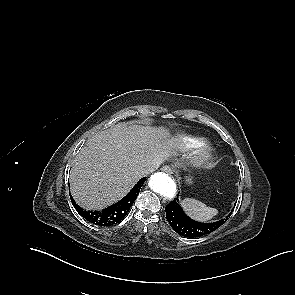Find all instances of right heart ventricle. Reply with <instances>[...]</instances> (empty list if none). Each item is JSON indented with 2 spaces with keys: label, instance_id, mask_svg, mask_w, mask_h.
Masks as SVG:
<instances>
[{
  "label": "right heart ventricle",
  "instance_id": "e07e8e85",
  "mask_svg": "<svg viewBox=\"0 0 295 295\" xmlns=\"http://www.w3.org/2000/svg\"><path fill=\"white\" fill-rule=\"evenodd\" d=\"M176 144L182 151H190L201 147L204 144V139L195 136H182L177 139Z\"/></svg>",
  "mask_w": 295,
  "mask_h": 295
}]
</instances>
